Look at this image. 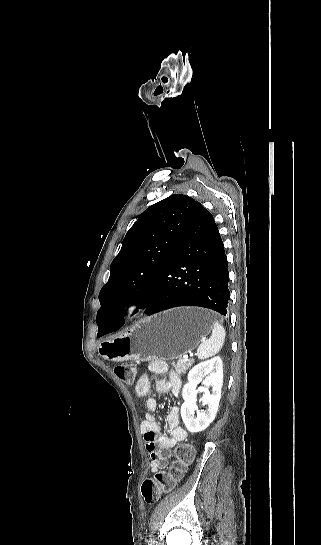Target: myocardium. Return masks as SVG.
Instances as JSON below:
<instances>
[{"instance_id": "myocardium-1", "label": "myocardium", "mask_w": 321, "mask_h": 545, "mask_svg": "<svg viewBox=\"0 0 321 545\" xmlns=\"http://www.w3.org/2000/svg\"><path fill=\"white\" fill-rule=\"evenodd\" d=\"M144 305L141 303H132L124 308V312L127 316L134 317L142 312Z\"/></svg>"}]
</instances>
